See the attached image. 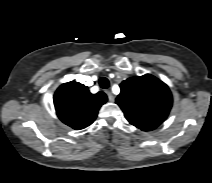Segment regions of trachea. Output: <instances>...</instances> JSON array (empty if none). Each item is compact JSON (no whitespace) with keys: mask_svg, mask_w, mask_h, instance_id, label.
I'll use <instances>...</instances> for the list:
<instances>
[{"mask_svg":"<svg viewBox=\"0 0 212 183\" xmlns=\"http://www.w3.org/2000/svg\"><path fill=\"white\" fill-rule=\"evenodd\" d=\"M99 85L103 89H107L110 86L109 80L106 77H102L99 80Z\"/></svg>","mask_w":212,"mask_h":183,"instance_id":"1","label":"trachea"}]
</instances>
